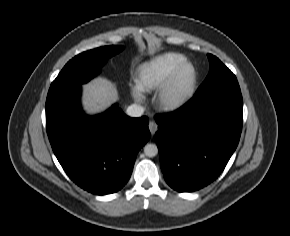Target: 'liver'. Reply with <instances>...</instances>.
<instances>
[{
	"mask_svg": "<svg viewBox=\"0 0 290 236\" xmlns=\"http://www.w3.org/2000/svg\"><path fill=\"white\" fill-rule=\"evenodd\" d=\"M83 90L82 104L89 114L104 111L118 97L115 85L101 77L83 85Z\"/></svg>",
	"mask_w": 290,
	"mask_h": 236,
	"instance_id": "liver-1",
	"label": "liver"
}]
</instances>
